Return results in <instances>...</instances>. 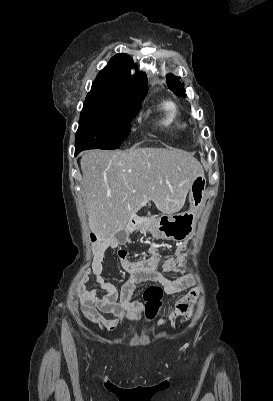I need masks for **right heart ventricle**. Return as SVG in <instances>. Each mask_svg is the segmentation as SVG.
<instances>
[{"label":"right heart ventricle","instance_id":"e07e8e85","mask_svg":"<svg viewBox=\"0 0 273 401\" xmlns=\"http://www.w3.org/2000/svg\"><path fill=\"white\" fill-rule=\"evenodd\" d=\"M159 112L158 123L165 129L184 133L188 130V123L181 115V109L178 103L171 99H164L156 105Z\"/></svg>","mask_w":273,"mask_h":401}]
</instances>
